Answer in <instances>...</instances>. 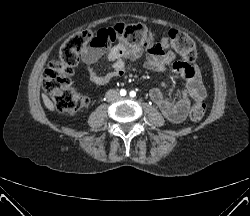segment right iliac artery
<instances>
[{
	"mask_svg": "<svg viewBox=\"0 0 250 216\" xmlns=\"http://www.w3.org/2000/svg\"><path fill=\"white\" fill-rule=\"evenodd\" d=\"M126 94H127L126 90L122 89V90L120 91V95H121V96H125Z\"/></svg>",
	"mask_w": 250,
	"mask_h": 216,
	"instance_id": "right-iliac-artery-1",
	"label": "right iliac artery"
}]
</instances>
